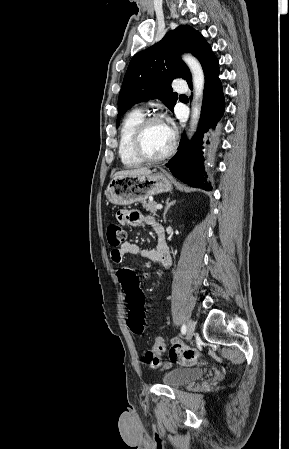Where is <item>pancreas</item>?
<instances>
[{
	"label": "pancreas",
	"mask_w": 289,
	"mask_h": 449,
	"mask_svg": "<svg viewBox=\"0 0 289 449\" xmlns=\"http://www.w3.org/2000/svg\"><path fill=\"white\" fill-rule=\"evenodd\" d=\"M156 205H157V203L155 201H149V202L142 201L143 208H145L147 211H149L153 214L157 211Z\"/></svg>",
	"instance_id": "pancreas-1"
}]
</instances>
